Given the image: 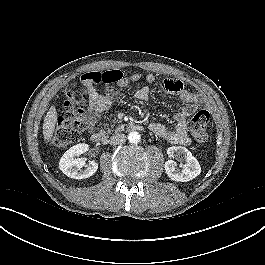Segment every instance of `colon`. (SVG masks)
<instances>
[{
	"label": "colon",
	"mask_w": 265,
	"mask_h": 265,
	"mask_svg": "<svg viewBox=\"0 0 265 265\" xmlns=\"http://www.w3.org/2000/svg\"><path fill=\"white\" fill-rule=\"evenodd\" d=\"M115 72H94L90 78L94 83H113L116 81ZM86 96L71 88L65 92L63 111L57 118L53 143L58 148L77 143L80 140L81 131L85 127V109L83 102ZM210 115L206 110L197 111L190 123V129L194 139L200 143L207 142L209 138Z\"/></svg>",
	"instance_id": "colon-1"
}]
</instances>
